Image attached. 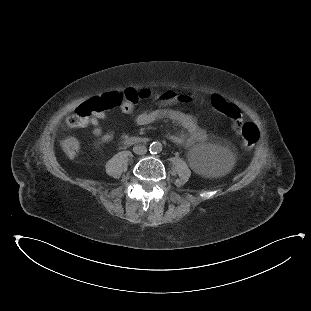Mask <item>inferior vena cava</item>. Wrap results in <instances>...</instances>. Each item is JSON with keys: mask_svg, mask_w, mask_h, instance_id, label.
I'll list each match as a JSON object with an SVG mask.
<instances>
[{"mask_svg": "<svg viewBox=\"0 0 311 311\" xmlns=\"http://www.w3.org/2000/svg\"><path fill=\"white\" fill-rule=\"evenodd\" d=\"M133 152L136 155H145L147 152V149L144 145H136L133 147Z\"/></svg>", "mask_w": 311, "mask_h": 311, "instance_id": "obj_1", "label": "inferior vena cava"}]
</instances>
